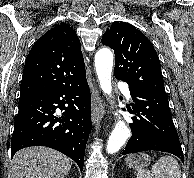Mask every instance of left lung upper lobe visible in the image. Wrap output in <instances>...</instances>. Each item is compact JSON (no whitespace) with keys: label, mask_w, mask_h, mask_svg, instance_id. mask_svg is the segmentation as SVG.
I'll return each instance as SVG.
<instances>
[{"label":"left lung upper lobe","mask_w":194,"mask_h":178,"mask_svg":"<svg viewBox=\"0 0 194 178\" xmlns=\"http://www.w3.org/2000/svg\"><path fill=\"white\" fill-rule=\"evenodd\" d=\"M102 43L114 50L116 79L136 88L165 92L158 55L141 31L117 21L104 33Z\"/></svg>","instance_id":"obj_1"}]
</instances>
